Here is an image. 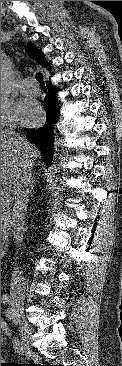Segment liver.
<instances>
[{"label": "liver", "mask_w": 122, "mask_h": 366, "mask_svg": "<svg viewBox=\"0 0 122 366\" xmlns=\"http://www.w3.org/2000/svg\"><path fill=\"white\" fill-rule=\"evenodd\" d=\"M13 131L1 130V184L12 190L20 179L26 162L33 172L35 161L41 156L36 146Z\"/></svg>", "instance_id": "6515ba94"}]
</instances>
